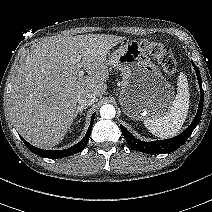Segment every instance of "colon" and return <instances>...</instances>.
Returning <instances> with one entry per match:
<instances>
[{"label": "colon", "instance_id": "obj_1", "mask_svg": "<svg viewBox=\"0 0 212 212\" xmlns=\"http://www.w3.org/2000/svg\"><path fill=\"white\" fill-rule=\"evenodd\" d=\"M144 52L155 59L162 67L165 73L174 74L177 70V61L170 49L161 43L144 41L141 43Z\"/></svg>", "mask_w": 212, "mask_h": 212}]
</instances>
